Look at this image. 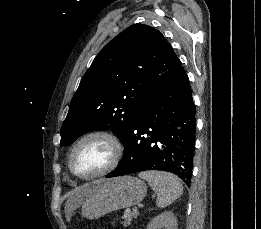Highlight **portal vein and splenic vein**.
<instances>
[{"mask_svg":"<svg viewBox=\"0 0 261 229\" xmlns=\"http://www.w3.org/2000/svg\"><path fill=\"white\" fill-rule=\"evenodd\" d=\"M139 209H140V210H144V209H145V204L140 203V204H139V208H138V207H135V208H134L135 213H138ZM124 217H126V215H124Z\"/></svg>","mask_w":261,"mask_h":229,"instance_id":"18ae733b","label":"portal vein and splenic vein"}]
</instances>
